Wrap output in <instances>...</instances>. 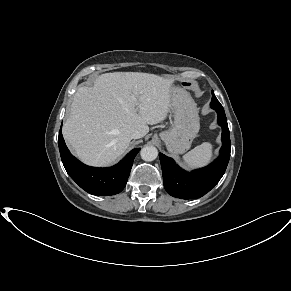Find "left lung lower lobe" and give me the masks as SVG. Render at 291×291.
I'll use <instances>...</instances> for the list:
<instances>
[{
	"label": "left lung lower lobe",
	"instance_id": "obj_1",
	"mask_svg": "<svg viewBox=\"0 0 291 291\" xmlns=\"http://www.w3.org/2000/svg\"><path fill=\"white\" fill-rule=\"evenodd\" d=\"M211 108L217 112L222 127L220 156L209 166L192 172L182 170L173 159L159 153L163 182L166 191L181 199L200 198L208 193L221 179L230 158V135L224 109L219 101H212Z\"/></svg>",
	"mask_w": 291,
	"mask_h": 291
}]
</instances>
